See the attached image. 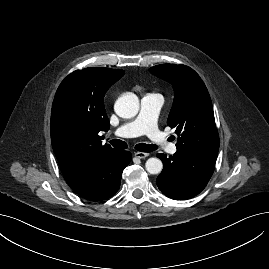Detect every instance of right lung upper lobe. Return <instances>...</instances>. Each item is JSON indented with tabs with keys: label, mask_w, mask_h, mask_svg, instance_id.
Segmentation results:
<instances>
[{
	"label": "right lung upper lobe",
	"mask_w": 269,
	"mask_h": 269,
	"mask_svg": "<svg viewBox=\"0 0 269 269\" xmlns=\"http://www.w3.org/2000/svg\"><path fill=\"white\" fill-rule=\"evenodd\" d=\"M123 70L91 67L77 70L60 84L52 105L51 142L63 174L99 162L118 150L102 144L110 128L104 95Z\"/></svg>",
	"instance_id": "obj_1"
}]
</instances>
